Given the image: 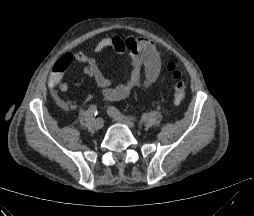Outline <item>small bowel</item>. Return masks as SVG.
Returning <instances> with one entry per match:
<instances>
[{"label": "small bowel", "instance_id": "obj_1", "mask_svg": "<svg viewBox=\"0 0 254 216\" xmlns=\"http://www.w3.org/2000/svg\"><path fill=\"white\" fill-rule=\"evenodd\" d=\"M108 48H113L117 53H128L131 58L130 69L124 82L113 85L112 79L106 77L100 70L98 60L88 56L84 52L66 53L59 62L65 63L66 68L72 63H86L85 74L97 85L103 98L109 101H118L127 98L137 87L149 88L159 77L161 71V58L163 51L149 39L131 36L120 37L118 35L108 36L100 39L95 47V53H101ZM66 68L56 65L49 76V87L52 97L58 102L64 101L56 90L66 92L69 88L63 80ZM89 93L84 101L92 99Z\"/></svg>", "mask_w": 254, "mask_h": 216}]
</instances>
